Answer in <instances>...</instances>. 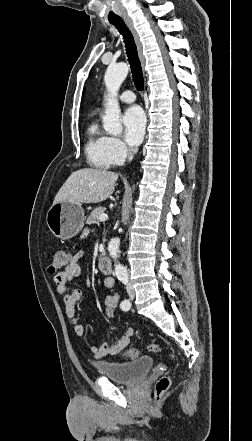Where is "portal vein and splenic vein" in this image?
Segmentation results:
<instances>
[{
  "label": "portal vein and splenic vein",
  "instance_id": "obj_1",
  "mask_svg": "<svg viewBox=\"0 0 252 441\" xmlns=\"http://www.w3.org/2000/svg\"><path fill=\"white\" fill-rule=\"evenodd\" d=\"M99 218H100L101 221H106L108 219V215L107 214H101Z\"/></svg>",
  "mask_w": 252,
  "mask_h": 441
}]
</instances>
